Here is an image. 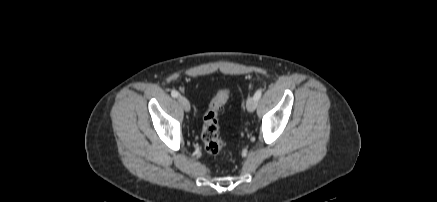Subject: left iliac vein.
I'll return each mask as SVG.
<instances>
[{
  "label": "left iliac vein",
  "instance_id": "left-iliac-vein-1",
  "mask_svg": "<svg viewBox=\"0 0 437 202\" xmlns=\"http://www.w3.org/2000/svg\"><path fill=\"white\" fill-rule=\"evenodd\" d=\"M256 106H257V100L254 97H250L246 103L247 110L249 112H253L256 109Z\"/></svg>",
  "mask_w": 437,
  "mask_h": 202
}]
</instances>
